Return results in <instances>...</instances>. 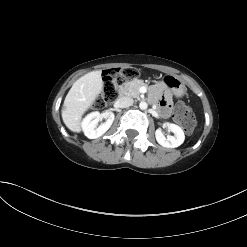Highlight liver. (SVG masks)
<instances>
[{
    "mask_svg": "<svg viewBox=\"0 0 247 247\" xmlns=\"http://www.w3.org/2000/svg\"><path fill=\"white\" fill-rule=\"evenodd\" d=\"M101 71H92L79 78L69 90L62 110V119L67 128L73 132L81 131L84 113L92 107L102 92Z\"/></svg>",
    "mask_w": 247,
    "mask_h": 247,
    "instance_id": "1",
    "label": "liver"
}]
</instances>
